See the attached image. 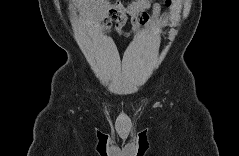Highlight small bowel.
<instances>
[{"instance_id":"1","label":"small bowel","mask_w":239,"mask_h":156,"mask_svg":"<svg viewBox=\"0 0 239 156\" xmlns=\"http://www.w3.org/2000/svg\"><path fill=\"white\" fill-rule=\"evenodd\" d=\"M74 4L86 17L94 20L101 18L100 23L106 30L110 29L113 23L115 32L124 38L137 35L142 26L147 27L151 33H156L166 26L167 19L161 4L150 0H133L127 3L77 0ZM148 10H151V14ZM128 22L131 24L130 32L124 31Z\"/></svg>"}]
</instances>
